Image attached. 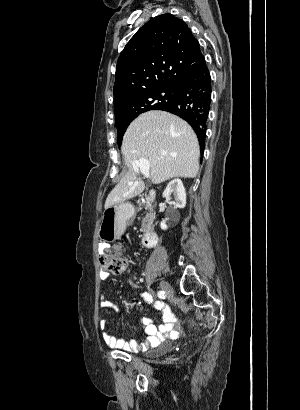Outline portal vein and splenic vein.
Instances as JSON below:
<instances>
[{
    "instance_id": "obj_1",
    "label": "portal vein and splenic vein",
    "mask_w": 300,
    "mask_h": 410,
    "mask_svg": "<svg viewBox=\"0 0 300 410\" xmlns=\"http://www.w3.org/2000/svg\"><path fill=\"white\" fill-rule=\"evenodd\" d=\"M134 170L141 172L145 178H149V161L147 159H140L133 163Z\"/></svg>"
}]
</instances>
